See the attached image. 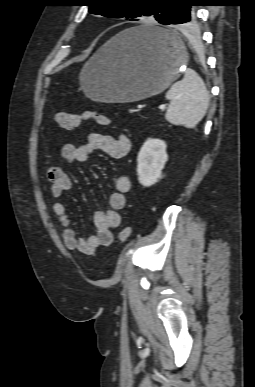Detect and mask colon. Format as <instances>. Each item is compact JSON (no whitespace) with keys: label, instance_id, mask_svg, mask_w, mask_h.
Segmentation results:
<instances>
[{"label":"colon","instance_id":"colon-1","mask_svg":"<svg viewBox=\"0 0 255 387\" xmlns=\"http://www.w3.org/2000/svg\"><path fill=\"white\" fill-rule=\"evenodd\" d=\"M55 122L64 129H74L78 127L83 121L93 120L102 126L111 125L112 121L109 117L98 113L96 111L86 110L82 113H69L65 111H58L54 116ZM131 235V228L124 227L119 233V240L126 242Z\"/></svg>","mask_w":255,"mask_h":387}]
</instances>
